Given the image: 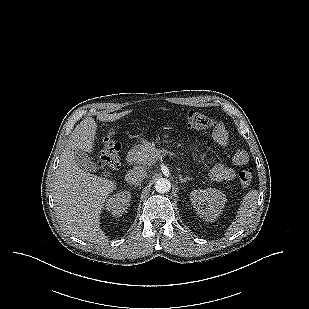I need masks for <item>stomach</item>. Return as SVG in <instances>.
<instances>
[{
	"mask_svg": "<svg viewBox=\"0 0 309 309\" xmlns=\"http://www.w3.org/2000/svg\"><path fill=\"white\" fill-rule=\"evenodd\" d=\"M141 147V144L138 146V148H140Z\"/></svg>",
	"mask_w": 309,
	"mask_h": 309,
	"instance_id": "1",
	"label": "stomach"
}]
</instances>
